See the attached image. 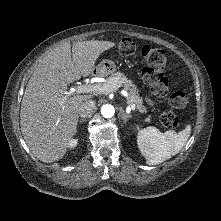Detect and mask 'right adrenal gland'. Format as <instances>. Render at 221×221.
I'll list each match as a JSON object with an SVG mask.
<instances>
[{"label":"right adrenal gland","instance_id":"right-adrenal-gland-1","mask_svg":"<svg viewBox=\"0 0 221 221\" xmlns=\"http://www.w3.org/2000/svg\"><path fill=\"white\" fill-rule=\"evenodd\" d=\"M85 121H86L85 119H80L79 123H82V122H85Z\"/></svg>","mask_w":221,"mask_h":221}]
</instances>
